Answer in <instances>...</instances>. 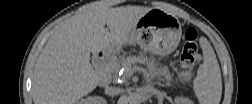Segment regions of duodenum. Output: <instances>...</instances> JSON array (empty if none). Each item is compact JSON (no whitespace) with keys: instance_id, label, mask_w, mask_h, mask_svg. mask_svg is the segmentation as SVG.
<instances>
[{"instance_id":"410a0bca","label":"duodenum","mask_w":252,"mask_h":104,"mask_svg":"<svg viewBox=\"0 0 252 104\" xmlns=\"http://www.w3.org/2000/svg\"><path fill=\"white\" fill-rule=\"evenodd\" d=\"M98 59L101 61H108V58L104 52H102L98 55Z\"/></svg>"}]
</instances>
